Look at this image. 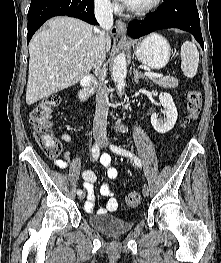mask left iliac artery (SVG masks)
Here are the masks:
<instances>
[{
    "instance_id": "44dca946",
    "label": "left iliac artery",
    "mask_w": 221,
    "mask_h": 263,
    "mask_svg": "<svg viewBox=\"0 0 221 263\" xmlns=\"http://www.w3.org/2000/svg\"><path fill=\"white\" fill-rule=\"evenodd\" d=\"M111 150L117 154L123 155V156H127L130 157L131 159H133L134 163L138 166L141 167V161L138 157L134 156L130 151L120 148L118 146L115 145H111L110 146Z\"/></svg>"
}]
</instances>
